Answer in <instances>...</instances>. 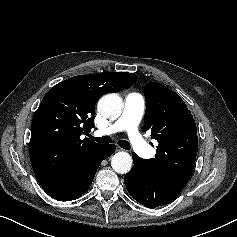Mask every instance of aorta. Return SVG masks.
<instances>
[{
  "label": "aorta",
  "mask_w": 237,
  "mask_h": 237,
  "mask_svg": "<svg viewBox=\"0 0 237 237\" xmlns=\"http://www.w3.org/2000/svg\"><path fill=\"white\" fill-rule=\"evenodd\" d=\"M98 111L106 118L117 119L123 110L121 98L117 94L104 95L98 102ZM115 172L125 174L132 167V157L126 152H117L111 159Z\"/></svg>",
  "instance_id": "1"
}]
</instances>
